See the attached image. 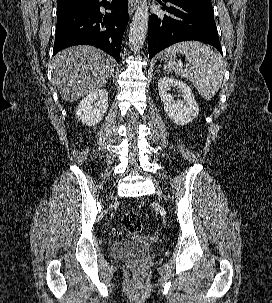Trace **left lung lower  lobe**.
Masks as SVG:
<instances>
[{"label":"left lung lower lobe","instance_id":"1","mask_svg":"<svg viewBox=\"0 0 272 303\" xmlns=\"http://www.w3.org/2000/svg\"><path fill=\"white\" fill-rule=\"evenodd\" d=\"M168 14H152L148 22V50L151 59L157 52L181 41L198 40L222 53L211 4L156 0Z\"/></svg>","mask_w":272,"mask_h":303}]
</instances>
